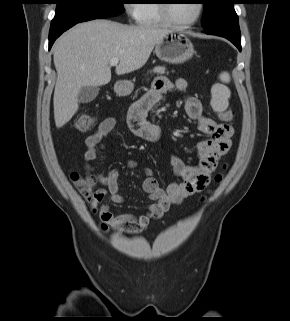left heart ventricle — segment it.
Segmentation results:
<instances>
[{"label":"left heart ventricle","mask_w":290,"mask_h":321,"mask_svg":"<svg viewBox=\"0 0 290 321\" xmlns=\"http://www.w3.org/2000/svg\"><path fill=\"white\" fill-rule=\"evenodd\" d=\"M197 12V1L176 0L170 4V15L178 22H187L193 19Z\"/></svg>","instance_id":"left-heart-ventricle-1"}]
</instances>
